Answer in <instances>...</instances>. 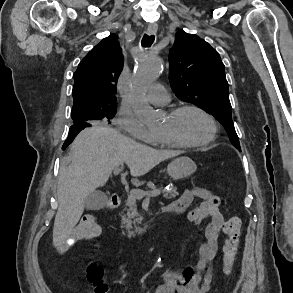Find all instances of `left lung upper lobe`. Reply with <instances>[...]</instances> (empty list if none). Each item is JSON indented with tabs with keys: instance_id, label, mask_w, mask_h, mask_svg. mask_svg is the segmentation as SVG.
Wrapping results in <instances>:
<instances>
[{
	"instance_id": "1",
	"label": "left lung upper lobe",
	"mask_w": 293,
	"mask_h": 293,
	"mask_svg": "<svg viewBox=\"0 0 293 293\" xmlns=\"http://www.w3.org/2000/svg\"><path fill=\"white\" fill-rule=\"evenodd\" d=\"M169 80L173 92L221 122L231 143L241 150L231 116L225 66L219 53L196 35L179 31L169 52Z\"/></svg>"
}]
</instances>
